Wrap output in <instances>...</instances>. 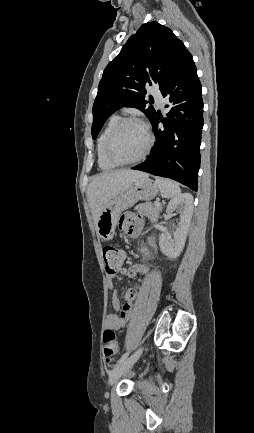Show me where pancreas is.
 <instances>
[{"instance_id": "cf45deb5", "label": "pancreas", "mask_w": 254, "mask_h": 433, "mask_svg": "<svg viewBox=\"0 0 254 433\" xmlns=\"http://www.w3.org/2000/svg\"><path fill=\"white\" fill-rule=\"evenodd\" d=\"M135 210H137L140 214L148 217L149 219L155 221L158 219L159 214L162 211V206L161 205L156 206L151 202H146V203L138 204L135 207Z\"/></svg>"}]
</instances>
